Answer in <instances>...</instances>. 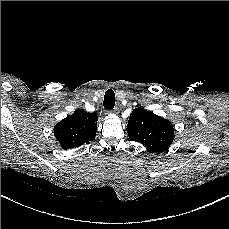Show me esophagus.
I'll use <instances>...</instances> for the list:
<instances>
[{
	"label": "esophagus",
	"mask_w": 229,
	"mask_h": 229,
	"mask_svg": "<svg viewBox=\"0 0 229 229\" xmlns=\"http://www.w3.org/2000/svg\"><path fill=\"white\" fill-rule=\"evenodd\" d=\"M109 112H112L114 114H118L119 113V108L118 107H115L112 110H109Z\"/></svg>",
	"instance_id": "1"
}]
</instances>
